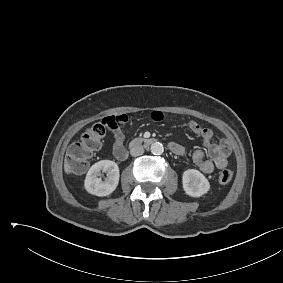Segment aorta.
<instances>
[{"label": "aorta", "mask_w": 283, "mask_h": 283, "mask_svg": "<svg viewBox=\"0 0 283 283\" xmlns=\"http://www.w3.org/2000/svg\"><path fill=\"white\" fill-rule=\"evenodd\" d=\"M150 150H151L152 154H154V155H161L164 151V147L161 143L154 142V143H152Z\"/></svg>", "instance_id": "1"}]
</instances>
